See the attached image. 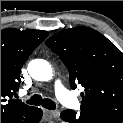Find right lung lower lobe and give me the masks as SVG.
<instances>
[{"instance_id": "obj_1", "label": "right lung lower lobe", "mask_w": 123, "mask_h": 123, "mask_svg": "<svg viewBox=\"0 0 123 123\" xmlns=\"http://www.w3.org/2000/svg\"><path fill=\"white\" fill-rule=\"evenodd\" d=\"M42 117V110L37 107L20 111L3 123H39Z\"/></svg>"}]
</instances>
